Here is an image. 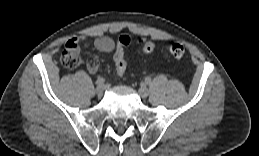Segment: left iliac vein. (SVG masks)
<instances>
[{"mask_svg":"<svg viewBox=\"0 0 259 156\" xmlns=\"http://www.w3.org/2000/svg\"><path fill=\"white\" fill-rule=\"evenodd\" d=\"M139 94L142 98H146L149 95L148 89L145 85H141L139 88Z\"/></svg>","mask_w":259,"mask_h":156,"instance_id":"left-iliac-vein-1","label":"left iliac vein"}]
</instances>
